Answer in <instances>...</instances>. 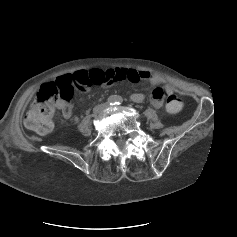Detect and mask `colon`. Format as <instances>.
Instances as JSON below:
<instances>
[{
  "label": "colon",
  "mask_w": 237,
  "mask_h": 237,
  "mask_svg": "<svg viewBox=\"0 0 237 237\" xmlns=\"http://www.w3.org/2000/svg\"><path fill=\"white\" fill-rule=\"evenodd\" d=\"M104 74L99 70L79 71L73 75L58 78L56 81L40 87L25 117L26 127L40 135L49 133L53 128V116L59 102L71 100L74 88L88 90L93 85H102ZM182 108V101L177 95L167 99L166 111L177 113Z\"/></svg>",
  "instance_id": "obj_1"
}]
</instances>
